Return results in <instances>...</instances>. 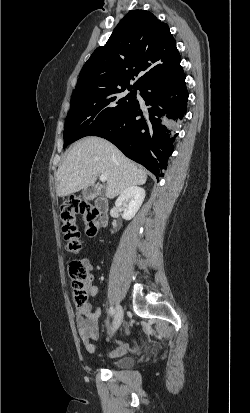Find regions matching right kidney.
<instances>
[{
	"instance_id": "right-kidney-1",
	"label": "right kidney",
	"mask_w": 250,
	"mask_h": 413,
	"mask_svg": "<svg viewBox=\"0 0 250 413\" xmlns=\"http://www.w3.org/2000/svg\"><path fill=\"white\" fill-rule=\"evenodd\" d=\"M145 199V190L138 186H131L126 188L115 202L116 208L123 211L122 218L131 220Z\"/></svg>"
}]
</instances>
